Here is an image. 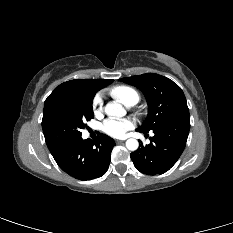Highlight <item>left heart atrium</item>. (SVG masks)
Segmentation results:
<instances>
[{"mask_svg":"<svg viewBox=\"0 0 233 233\" xmlns=\"http://www.w3.org/2000/svg\"><path fill=\"white\" fill-rule=\"evenodd\" d=\"M134 127V122L131 119H108L103 123V131L115 138L125 136L126 132Z\"/></svg>","mask_w":233,"mask_h":233,"instance_id":"obj_1","label":"left heart atrium"}]
</instances>
